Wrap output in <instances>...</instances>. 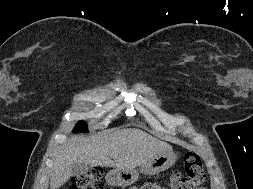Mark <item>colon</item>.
I'll list each match as a JSON object with an SVG mask.
<instances>
[{
    "mask_svg": "<svg viewBox=\"0 0 253 189\" xmlns=\"http://www.w3.org/2000/svg\"><path fill=\"white\" fill-rule=\"evenodd\" d=\"M102 175V169L95 168L74 177L71 180V189H104ZM205 179L206 174L200 156L195 152H188L184 157L183 173L174 171L171 174L169 188L200 189Z\"/></svg>",
    "mask_w": 253,
    "mask_h": 189,
    "instance_id": "obj_1",
    "label": "colon"
}]
</instances>
